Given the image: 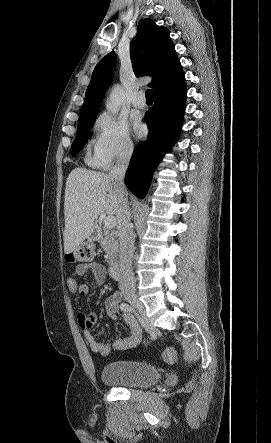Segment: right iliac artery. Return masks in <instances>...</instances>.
Returning a JSON list of instances; mask_svg holds the SVG:
<instances>
[{
    "label": "right iliac artery",
    "mask_w": 271,
    "mask_h": 443,
    "mask_svg": "<svg viewBox=\"0 0 271 443\" xmlns=\"http://www.w3.org/2000/svg\"><path fill=\"white\" fill-rule=\"evenodd\" d=\"M120 308H121V310L124 311V312H132V313H134V314L137 315V313H136L134 307L131 306V305H129L128 303H121Z\"/></svg>",
    "instance_id": "82829eb1"
}]
</instances>
